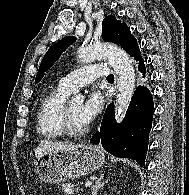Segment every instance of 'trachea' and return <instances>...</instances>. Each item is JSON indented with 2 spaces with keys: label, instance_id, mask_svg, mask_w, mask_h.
Returning <instances> with one entry per match:
<instances>
[{
  "label": "trachea",
  "instance_id": "trachea-1",
  "mask_svg": "<svg viewBox=\"0 0 189 195\" xmlns=\"http://www.w3.org/2000/svg\"><path fill=\"white\" fill-rule=\"evenodd\" d=\"M111 78H114L113 74H110V75L107 76V79H111Z\"/></svg>",
  "mask_w": 189,
  "mask_h": 195
}]
</instances>
